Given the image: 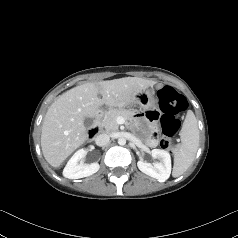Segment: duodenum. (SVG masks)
<instances>
[{"label":"duodenum","mask_w":238,"mask_h":238,"mask_svg":"<svg viewBox=\"0 0 238 238\" xmlns=\"http://www.w3.org/2000/svg\"><path fill=\"white\" fill-rule=\"evenodd\" d=\"M102 116H103V111L99 110L95 115V119H94L92 128L89 131V135L91 137H94L98 134V132L100 130V122H101Z\"/></svg>","instance_id":"410a0bca"}]
</instances>
